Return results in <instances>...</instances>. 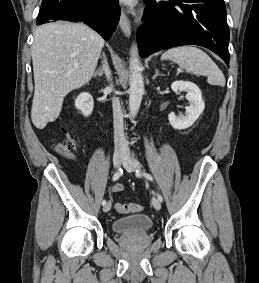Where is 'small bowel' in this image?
<instances>
[{"label": "small bowel", "instance_id": "c3829d8e", "mask_svg": "<svg viewBox=\"0 0 259 283\" xmlns=\"http://www.w3.org/2000/svg\"><path fill=\"white\" fill-rule=\"evenodd\" d=\"M122 189H123V186L121 184H116V185L111 187V190L114 191V192L122 191Z\"/></svg>", "mask_w": 259, "mask_h": 283}]
</instances>
